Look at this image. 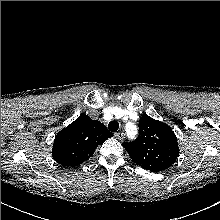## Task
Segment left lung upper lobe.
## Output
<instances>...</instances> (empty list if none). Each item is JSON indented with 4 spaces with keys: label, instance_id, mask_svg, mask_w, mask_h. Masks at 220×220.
Returning a JSON list of instances; mask_svg holds the SVG:
<instances>
[{
    "label": "left lung upper lobe",
    "instance_id": "obj_1",
    "mask_svg": "<svg viewBox=\"0 0 220 220\" xmlns=\"http://www.w3.org/2000/svg\"><path fill=\"white\" fill-rule=\"evenodd\" d=\"M122 145L136 164L152 172L168 168L179 156L177 138L172 129L148 115L139 120V136Z\"/></svg>",
    "mask_w": 220,
    "mask_h": 220
}]
</instances>
